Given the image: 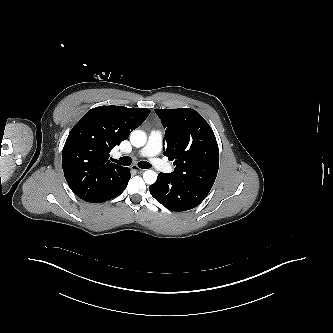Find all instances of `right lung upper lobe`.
<instances>
[{"label": "right lung upper lobe", "instance_id": "right-lung-upper-lobe-1", "mask_svg": "<svg viewBox=\"0 0 333 333\" xmlns=\"http://www.w3.org/2000/svg\"><path fill=\"white\" fill-rule=\"evenodd\" d=\"M149 109L99 106L70 131L62 153L65 179L81 199L93 203L118 187L127 167L110 163L109 152L149 115Z\"/></svg>", "mask_w": 333, "mask_h": 333}]
</instances>
